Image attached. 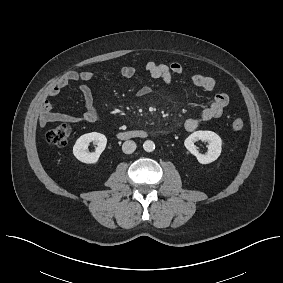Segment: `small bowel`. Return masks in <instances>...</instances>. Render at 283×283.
I'll use <instances>...</instances> for the list:
<instances>
[{
    "label": "small bowel",
    "instance_id": "c3829d8e",
    "mask_svg": "<svg viewBox=\"0 0 283 283\" xmlns=\"http://www.w3.org/2000/svg\"><path fill=\"white\" fill-rule=\"evenodd\" d=\"M146 70L154 79H161L166 83L171 82L173 75H183L185 70L178 62L170 64L148 62ZM136 68L130 65L123 66L120 69V74L124 78H131L135 75ZM96 76L94 71H71L65 74L60 81L50 90V97H57L61 91L72 82H80V92L83 96L84 109L79 115H69L53 111L52 103L45 100L41 107L40 121L42 124L53 122H96L101 119V115L95 107L94 96L88 81ZM191 83L195 87L202 88L206 91H214L216 89V81L203 74H195L191 77ZM153 91V87L145 86L139 90L137 96H145ZM229 104V96L224 92L215 94L209 106L204 108L201 114L197 117H190L184 122V128L189 131H195L202 123L212 119L219 118L223 115L224 109Z\"/></svg>",
    "mask_w": 283,
    "mask_h": 283
}]
</instances>
